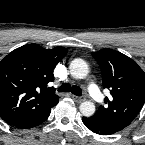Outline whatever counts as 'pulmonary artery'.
<instances>
[{"label":"pulmonary artery","mask_w":145,"mask_h":145,"mask_svg":"<svg viewBox=\"0 0 145 145\" xmlns=\"http://www.w3.org/2000/svg\"><path fill=\"white\" fill-rule=\"evenodd\" d=\"M88 91L96 101L100 102L103 100V95L98 90V88L95 84H93V83L89 84Z\"/></svg>","instance_id":"obj_1"}]
</instances>
